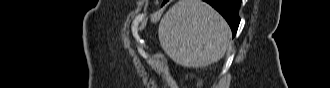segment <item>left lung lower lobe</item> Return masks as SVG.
Segmentation results:
<instances>
[{"label":"left lung lower lobe","mask_w":330,"mask_h":88,"mask_svg":"<svg viewBox=\"0 0 330 88\" xmlns=\"http://www.w3.org/2000/svg\"><path fill=\"white\" fill-rule=\"evenodd\" d=\"M216 9L228 22L231 30L232 37L236 35L240 18L238 15L239 7L242 0H203ZM168 0H164V5Z\"/></svg>","instance_id":"obj_1"}]
</instances>
